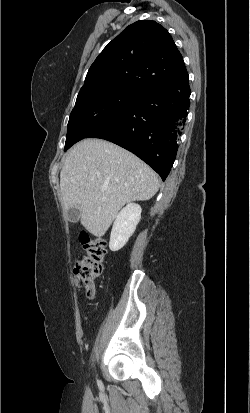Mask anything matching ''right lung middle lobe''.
Wrapping results in <instances>:
<instances>
[{
    "instance_id": "obj_1",
    "label": "right lung middle lobe",
    "mask_w": 250,
    "mask_h": 413,
    "mask_svg": "<svg viewBox=\"0 0 250 413\" xmlns=\"http://www.w3.org/2000/svg\"><path fill=\"white\" fill-rule=\"evenodd\" d=\"M140 93L125 85H96L80 90L70 114L64 151L114 118Z\"/></svg>"
}]
</instances>
